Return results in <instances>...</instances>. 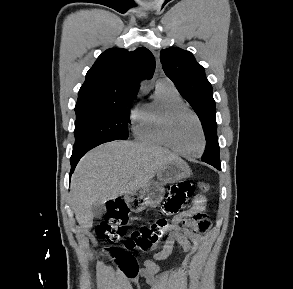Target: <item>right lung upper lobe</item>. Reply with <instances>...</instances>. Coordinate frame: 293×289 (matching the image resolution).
Returning <instances> with one entry per match:
<instances>
[{"mask_svg":"<svg viewBox=\"0 0 293 289\" xmlns=\"http://www.w3.org/2000/svg\"><path fill=\"white\" fill-rule=\"evenodd\" d=\"M154 70V56L146 48L132 52L118 48L108 49L87 72L77 102L135 96L139 81L145 77L151 78Z\"/></svg>","mask_w":293,"mask_h":289,"instance_id":"obj_1","label":"right lung upper lobe"}]
</instances>
